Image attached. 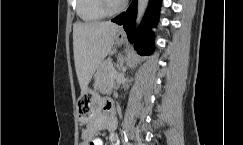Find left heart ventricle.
I'll use <instances>...</instances> for the list:
<instances>
[{
	"instance_id": "b2bd125f",
	"label": "left heart ventricle",
	"mask_w": 243,
	"mask_h": 145,
	"mask_svg": "<svg viewBox=\"0 0 243 145\" xmlns=\"http://www.w3.org/2000/svg\"><path fill=\"white\" fill-rule=\"evenodd\" d=\"M114 5L119 4L122 0H111Z\"/></svg>"
}]
</instances>
